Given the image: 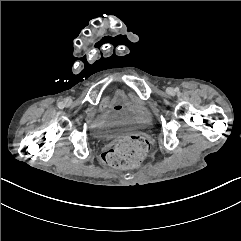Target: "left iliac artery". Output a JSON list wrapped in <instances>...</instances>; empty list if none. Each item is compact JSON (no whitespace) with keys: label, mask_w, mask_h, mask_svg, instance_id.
<instances>
[{"label":"left iliac artery","mask_w":241,"mask_h":241,"mask_svg":"<svg viewBox=\"0 0 241 241\" xmlns=\"http://www.w3.org/2000/svg\"><path fill=\"white\" fill-rule=\"evenodd\" d=\"M175 91H179V88H175Z\"/></svg>","instance_id":"1"}]
</instances>
